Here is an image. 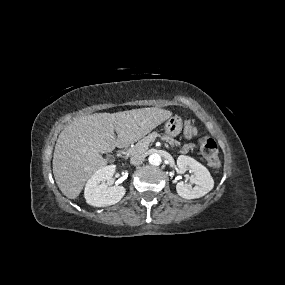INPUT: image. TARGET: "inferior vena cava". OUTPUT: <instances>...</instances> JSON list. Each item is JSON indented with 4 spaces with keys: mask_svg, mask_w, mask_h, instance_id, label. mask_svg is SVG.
I'll list each match as a JSON object with an SVG mask.
<instances>
[{
    "mask_svg": "<svg viewBox=\"0 0 285 285\" xmlns=\"http://www.w3.org/2000/svg\"><path fill=\"white\" fill-rule=\"evenodd\" d=\"M144 159L145 158L143 155H134L131 157L130 163L132 165H139V164L143 163Z\"/></svg>",
    "mask_w": 285,
    "mask_h": 285,
    "instance_id": "inferior-vena-cava-1",
    "label": "inferior vena cava"
}]
</instances>
